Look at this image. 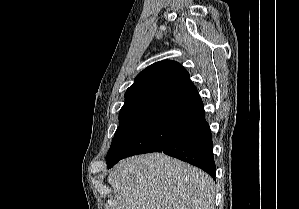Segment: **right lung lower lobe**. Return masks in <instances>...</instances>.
<instances>
[{
	"mask_svg": "<svg viewBox=\"0 0 299 209\" xmlns=\"http://www.w3.org/2000/svg\"><path fill=\"white\" fill-rule=\"evenodd\" d=\"M148 152H164L215 178L211 130L203 102L192 82L159 104L120 152L107 161V167L128 156Z\"/></svg>",
	"mask_w": 299,
	"mask_h": 209,
	"instance_id": "obj_1",
	"label": "right lung lower lobe"
}]
</instances>
